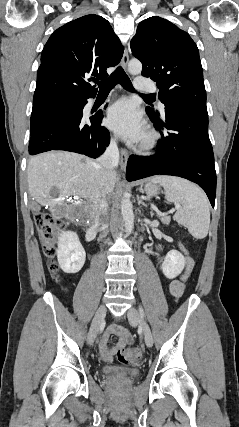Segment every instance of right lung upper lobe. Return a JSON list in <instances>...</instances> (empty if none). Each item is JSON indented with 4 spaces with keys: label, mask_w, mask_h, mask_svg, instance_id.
<instances>
[{
    "label": "right lung upper lobe",
    "mask_w": 239,
    "mask_h": 427,
    "mask_svg": "<svg viewBox=\"0 0 239 427\" xmlns=\"http://www.w3.org/2000/svg\"><path fill=\"white\" fill-rule=\"evenodd\" d=\"M123 46L109 22L86 15L58 28L41 54L33 99L50 96H95L89 81L104 79L119 63Z\"/></svg>",
    "instance_id": "obj_1"
}]
</instances>
